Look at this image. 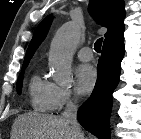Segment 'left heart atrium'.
<instances>
[{
  "instance_id": "39dd6f15",
  "label": "left heart atrium",
  "mask_w": 141,
  "mask_h": 139,
  "mask_svg": "<svg viewBox=\"0 0 141 139\" xmlns=\"http://www.w3.org/2000/svg\"><path fill=\"white\" fill-rule=\"evenodd\" d=\"M97 71L91 65H81L76 70V88L82 95L92 92L97 82Z\"/></svg>"
}]
</instances>
